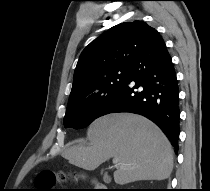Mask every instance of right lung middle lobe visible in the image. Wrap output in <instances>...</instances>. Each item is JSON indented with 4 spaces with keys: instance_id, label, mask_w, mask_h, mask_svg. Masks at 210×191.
Returning <instances> with one entry per match:
<instances>
[{
    "instance_id": "dd1d6c3e",
    "label": "right lung middle lobe",
    "mask_w": 210,
    "mask_h": 191,
    "mask_svg": "<svg viewBox=\"0 0 210 191\" xmlns=\"http://www.w3.org/2000/svg\"><path fill=\"white\" fill-rule=\"evenodd\" d=\"M129 79V67L107 70L82 92L69 98L64 117L65 128H83L96 118L108 100Z\"/></svg>"
}]
</instances>
